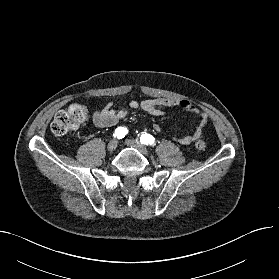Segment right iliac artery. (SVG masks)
Returning a JSON list of instances; mask_svg holds the SVG:
<instances>
[{
	"label": "right iliac artery",
	"mask_w": 279,
	"mask_h": 279,
	"mask_svg": "<svg viewBox=\"0 0 279 279\" xmlns=\"http://www.w3.org/2000/svg\"><path fill=\"white\" fill-rule=\"evenodd\" d=\"M127 133H128L127 128H125V127H118V128L115 130L113 136L116 137V138H118V139H121V138H123Z\"/></svg>",
	"instance_id": "1"
}]
</instances>
